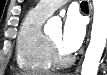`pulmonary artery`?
Masks as SVG:
<instances>
[{
    "instance_id": "pulmonary-artery-1",
    "label": "pulmonary artery",
    "mask_w": 107,
    "mask_h": 75,
    "mask_svg": "<svg viewBox=\"0 0 107 75\" xmlns=\"http://www.w3.org/2000/svg\"><path fill=\"white\" fill-rule=\"evenodd\" d=\"M66 2L68 0H42L36 5L35 10L41 15L48 17Z\"/></svg>"
}]
</instances>
